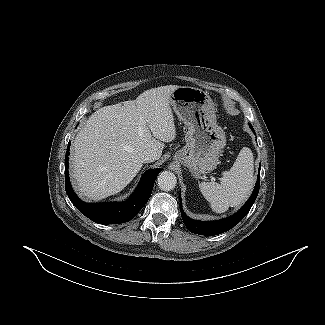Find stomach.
I'll list each match as a JSON object with an SVG mask.
<instances>
[{
    "instance_id": "obj_1",
    "label": "stomach",
    "mask_w": 325,
    "mask_h": 325,
    "mask_svg": "<svg viewBox=\"0 0 325 325\" xmlns=\"http://www.w3.org/2000/svg\"><path fill=\"white\" fill-rule=\"evenodd\" d=\"M170 104L188 128L186 145L175 153L174 159L194 176L214 170L226 145V137L217 124L211 97L199 88L179 86L172 92Z\"/></svg>"
}]
</instances>
